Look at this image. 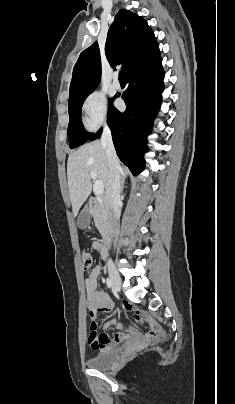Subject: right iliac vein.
Listing matches in <instances>:
<instances>
[{
  "mask_svg": "<svg viewBox=\"0 0 235 404\" xmlns=\"http://www.w3.org/2000/svg\"><path fill=\"white\" fill-rule=\"evenodd\" d=\"M108 272L113 288L116 291L121 289V278L113 263H108Z\"/></svg>",
  "mask_w": 235,
  "mask_h": 404,
  "instance_id": "63e3f726",
  "label": "right iliac vein"
}]
</instances>
